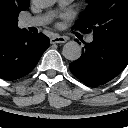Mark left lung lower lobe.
<instances>
[{
    "mask_svg": "<svg viewBox=\"0 0 128 128\" xmlns=\"http://www.w3.org/2000/svg\"><path fill=\"white\" fill-rule=\"evenodd\" d=\"M81 57L70 63L72 74L89 86L103 85L128 64V37L93 38L85 45Z\"/></svg>",
    "mask_w": 128,
    "mask_h": 128,
    "instance_id": "left-lung-lower-lobe-1",
    "label": "left lung lower lobe"
}]
</instances>
